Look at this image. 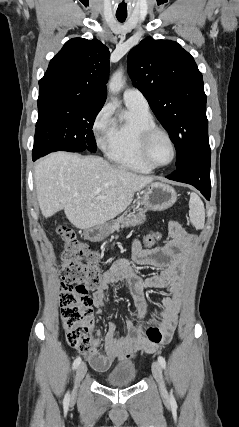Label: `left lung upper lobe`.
<instances>
[{
  "label": "left lung upper lobe",
  "mask_w": 239,
  "mask_h": 427,
  "mask_svg": "<svg viewBox=\"0 0 239 427\" xmlns=\"http://www.w3.org/2000/svg\"><path fill=\"white\" fill-rule=\"evenodd\" d=\"M128 72L168 131L177 168L210 150L202 74L188 52L177 42L147 37L129 52Z\"/></svg>",
  "instance_id": "1"
}]
</instances>
